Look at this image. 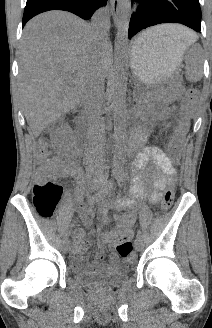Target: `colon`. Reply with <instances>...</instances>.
Here are the masks:
<instances>
[{
	"label": "colon",
	"mask_w": 212,
	"mask_h": 328,
	"mask_svg": "<svg viewBox=\"0 0 212 328\" xmlns=\"http://www.w3.org/2000/svg\"><path fill=\"white\" fill-rule=\"evenodd\" d=\"M197 91L193 88L187 90L185 98L183 100V108L189 110L197 100ZM187 124L181 122L174 131L173 138L171 140V152L175 157L180 155L181 140L186 132ZM48 154V147L45 142H41L37 148V156L41 163L45 162ZM43 175H49V170L45 169L40 174V179L33 186V204L36 212L42 218H52L56 208L61 200L63 189L62 187L51 181H43L41 177ZM174 188L171 185L165 192L162 209L168 211L174 202ZM132 243L129 239H121L116 245L117 253L125 259L132 261L134 259L132 251Z\"/></svg>",
	"instance_id": "colon-1"
}]
</instances>
